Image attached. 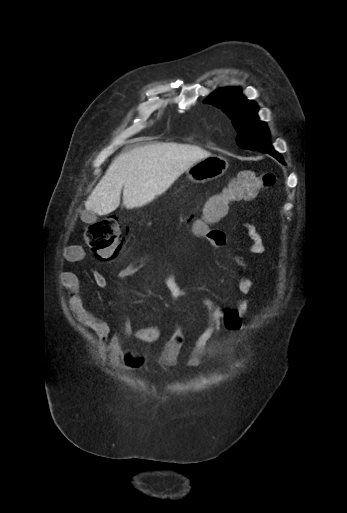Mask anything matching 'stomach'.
Instances as JSON below:
<instances>
[{"mask_svg":"<svg viewBox=\"0 0 347 513\" xmlns=\"http://www.w3.org/2000/svg\"><path fill=\"white\" fill-rule=\"evenodd\" d=\"M229 164L222 156L210 155L198 160L186 170L187 177L194 183H205L222 176Z\"/></svg>","mask_w":347,"mask_h":513,"instance_id":"obj_1","label":"stomach"}]
</instances>
